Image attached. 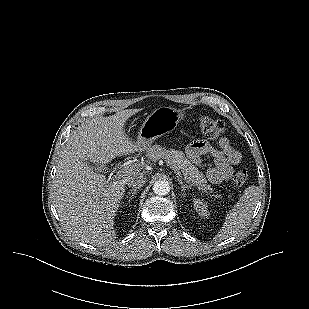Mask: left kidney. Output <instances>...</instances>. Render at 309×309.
Returning a JSON list of instances; mask_svg holds the SVG:
<instances>
[{"label": "left kidney", "instance_id": "1", "mask_svg": "<svg viewBox=\"0 0 309 309\" xmlns=\"http://www.w3.org/2000/svg\"><path fill=\"white\" fill-rule=\"evenodd\" d=\"M194 209L199 214V216L203 218H207L209 216L208 205L204 202V200L198 198L193 201Z\"/></svg>", "mask_w": 309, "mask_h": 309}]
</instances>
